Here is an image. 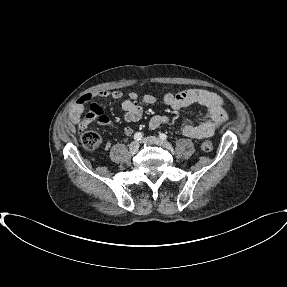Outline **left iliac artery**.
Wrapping results in <instances>:
<instances>
[{
    "label": "left iliac artery",
    "instance_id": "obj_1",
    "mask_svg": "<svg viewBox=\"0 0 287 287\" xmlns=\"http://www.w3.org/2000/svg\"><path fill=\"white\" fill-rule=\"evenodd\" d=\"M159 137H160V139H162V140H166V139H167V135L164 134V133H160V134H159Z\"/></svg>",
    "mask_w": 287,
    "mask_h": 287
}]
</instances>
